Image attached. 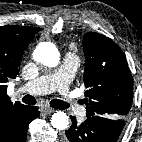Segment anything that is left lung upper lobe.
I'll return each mask as SVG.
<instances>
[{
	"label": "left lung upper lobe",
	"instance_id": "5c2ea615",
	"mask_svg": "<svg viewBox=\"0 0 142 142\" xmlns=\"http://www.w3.org/2000/svg\"><path fill=\"white\" fill-rule=\"evenodd\" d=\"M83 49L87 117L124 119L133 100V80L124 53L110 38L95 32L85 34Z\"/></svg>",
	"mask_w": 142,
	"mask_h": 142
}]
</instances>
